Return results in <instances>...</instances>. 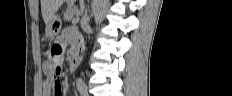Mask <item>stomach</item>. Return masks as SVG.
Segmentation results:
<instances>
[{"mask_svg": "<svg viewBox=\"0 0 232 96\" xmlns=\"http://www.w3.org/2000/svg\"><path fill=\"white\" fill-rule=\"evenodd\" d=\"M61 28V20L58 16L54 15L51 22L46 26V34L49 38L55 37Z\"/></svg>", "mask_w": 232, "mask_h": 96, "instance_id": "1", "label": "stomach"}]
</instances>
